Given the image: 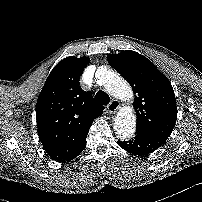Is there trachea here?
I'll return each instance as SVG.
<instances>
[{
	"instance_id": "3493384b",
	"label": "trachea",
	"mask_w": 202,
	"mask_h": 202,
	"mask_svg": "<svg viewBox=\"0 0 202 202\" xmlns=\"http://www.w3.org/2000/svg\"><path fill=\"white\" fill-rule=\"evenodd\" d=\"M95 100H96V102H98L99 104H102V105H107L110 102L109 96L103 91H98L96 93Z\"/></svg>"
}]
</instances>
